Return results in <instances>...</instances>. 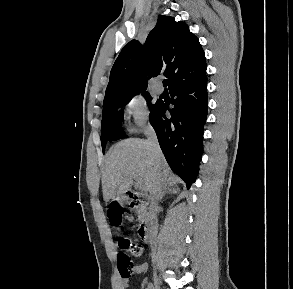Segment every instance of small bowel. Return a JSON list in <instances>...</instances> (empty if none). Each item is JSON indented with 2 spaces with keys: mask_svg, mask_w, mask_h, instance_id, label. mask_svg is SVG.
<instances>
[{
  "mask_svg": "<svg viewBox=\"0 0 293 289\" xmlns=\"http://www.w3.org/2000/svg\"><path fill=\"white\" fill-rule=\"evenodd\" d=\"M135 270L137 273H144L146 270H147V264L146 263H141V264H138L136 267H135ZM123 287H127V282L125 281L123 283Z\"/></svg>",
  "mask_w": 293,
  "mask_h": 289,
  "instance_id": "c3829d8e",
  "label": "small bowel"
}]
</instances>
